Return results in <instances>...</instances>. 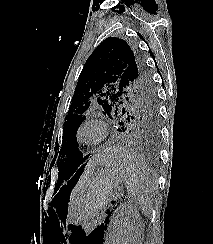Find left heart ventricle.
Instances as JSON below:
<instances>
[{"mask_svg": "<svg viewBox=\"0 0 213 244\" xmlns=\"http://www.w3.org/2000/svg\"><path fill=\"white\" fill-rule=\"evenodd\" d=\"M82 136L85 140H94L99 136L98 128L92 126L84 129Z\"/></svg>", "mask_w": 213, "mask_h": 244, "instance_id": "left-heart-ventricle-1", "label": "left heart ventricle"}]
</instances>
